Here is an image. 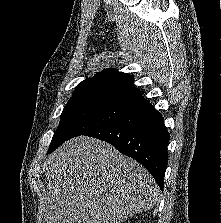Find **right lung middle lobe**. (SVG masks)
I'll list each match as a JSON object with an SVG mask.
<instances>
[{
	"label": "right lung middle lobe",
	"mask_w": 221,
	"mask_h": 223,
	"mask_svg": "<svg viewBox=\"0 0 221 223\" xmlns=\"http://www.w3.org/2000/svg\"><path fill=\"white\" fill-rule=\"evenodd\" d=\"M134 108L136 107L129 104L100 99L69 101L63 109L48 153L53 152L73 137L83 135L123 117Z\"/></svg>",
	"instance_id": "dd1d6c3e"
}]
</instances>
